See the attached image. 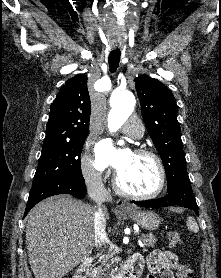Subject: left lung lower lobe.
Segmentation results:
<instances>
[{
  "label": "left lung lower lobe",
  "instance_id": "1",
  "mask_svg": "<svg viewBox=\"0 0 221 278\" xmlns=\"http://www.w3.org/2000/svg\"><path fill=\"white\" fill-rule=\"evenodd\" d=\"M165 197L146 201H133L134 204L141 207H168V206H183L193 210L197 215L198 206L193 194L189 178L180 180L172 188L167 190Z\"/></svg>",
  "mask_w": 221,
  "mask_h": 278
}]
</instances>
